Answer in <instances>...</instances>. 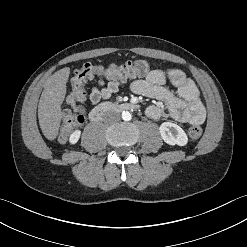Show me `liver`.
<instances>
[{
  "label": "liver",
  "mask_w": 247,
  "mask_h": 247,
  "mask_svg": "<svg viewBox=\"0 0 247 247\" xmlns=\"http://www.w3.org/2000/svg\"><path fill=\"white\" fill-rule=\"evenodd\" d=\"M70 69L63 68L49 77L41 94L38 105L39 125L48 140H54L59 131L62 118L61 104L66 95V83Z\"/></svg>",
  "instance_id": "1"
}]
</instances>
